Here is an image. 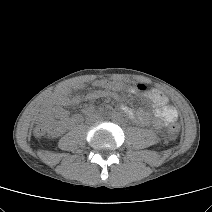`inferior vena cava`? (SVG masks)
Masks as SVG:
<instances>
[{
  "mask_svg": "<svg viewBox=\"0 0 212 212\" xmlns=\"http://www.w3.org/2000/svg\"><path fill=\"white\" fill-rule=\"evenodd\" d=\"M89 120L92 123L98 124V123H100L101 118H100V116H98L96 114H92V115H90Z\"/></svg>",
  "mask_w": 212,
  "mask_h": 212,
  "instance_id": "602c4592",
  "label": "inferior vena cava"
}]
</instances>
